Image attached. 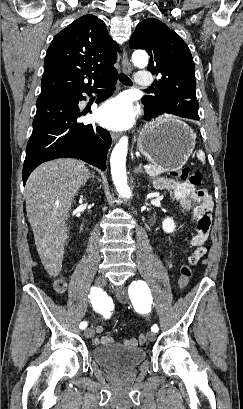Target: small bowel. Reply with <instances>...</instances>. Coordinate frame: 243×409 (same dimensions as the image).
Returning a JSON list of instances; mask_svg holds the SVG:
<instances>
[{
  "instance_id": "small-bowel-1",
  "label": "small bowel",
  "mask_w": 243,
  "mask_h": 409,
  "mask_svg": "<svg viewBox=\"0 0 243 409\" xmlns=\"http://www.w3.org/2000/svg\"><path fill=\"white\" fill-rule=\"evenodd\" d=\"M156 187L169 191L175 199L180 201L184 210L190 211L193 214L197 223V229L194 235L186 239V243L189 246L195 247L194 251L188 258L190 265H195L205 255L206 242L210 226H211V213L213 210V201L208 193L201 188H196L188 181L175 182L167 178H159L156 181ZM112 310V304L106 300L104 306V312L102 313L105 318L109 317ZM97 334H101L103 328L97 326L95 328ZM115 338L112 335H101L95 338V344H104L114 342ZM122 344L125 346H137L139 344L136 338H125L122 340Z\"/></svg>"
}]
</instances>
